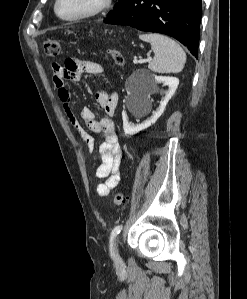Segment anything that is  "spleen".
Returning a JSON list of instances; mask_svg holds the SVG:
<instances>
[{
	"instance_id": "1",
	"label": "spleen",
	"mask_w": 247,
	"mask_h": 299,
	"mask_svg": "<svg viewBox=\"0 0 247 299\" xmlns=\"http://www.w3.org/2000/svg\"><path fill=\"white\" fill-rule=\"evenodd\" d=\"M142 41L149 42L155 54L148 68L156 73L180 72L186 62V54L173 39L159 34H142Z\"/></svg>"
}]
</instances>
